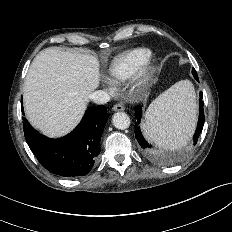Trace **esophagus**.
<instances>
[{
  "instance_id": "esophagus-1",
  "label": "esophagus",
  "mask_w": 232,
  "mask_h": 232,
  "mask_svg": "<svg viewBox=\"0 0 232 232\" xmlns=\"http://www.w3.org/2000/svg\"><path fill=\"white\" fill-rule=\"evenodd\" d=\"M113 111H123L124 110V106L120 103L116 104L113 106L112 108Z\"/></svg>"
}]
</instances>
